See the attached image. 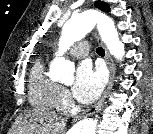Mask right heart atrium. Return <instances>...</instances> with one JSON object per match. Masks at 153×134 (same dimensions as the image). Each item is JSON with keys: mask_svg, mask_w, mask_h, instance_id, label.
<instances>
[{"mask_svg": "<svg viewBox=\"0 0 153 134\" xmlns=\"http://www.w3.org/2000/svg\"><path fill=\"white\" fill-rule=\"evenodd\" d=\"M71 107L72 100L70 98L68 91L64 88H61L59 94V109L64 112H67L71 109Z\"/></svg>", "mask_w": 153, "mask_h": 134, "instance_id": "1", "label": "right heart atrium"}]
</instances>
